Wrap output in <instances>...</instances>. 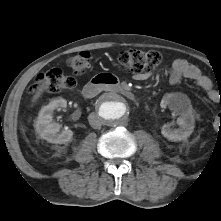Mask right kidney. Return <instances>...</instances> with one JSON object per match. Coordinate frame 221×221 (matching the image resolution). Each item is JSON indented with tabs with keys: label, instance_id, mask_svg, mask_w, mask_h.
Here are the masks:
<instances>
[{
	"label": "right kidney",
	"instance_id": "1",
	"mask_svg": "<svg viewBox=\"0 0 221 221\" xmlns=\"http://www.w3.org/2000/svg\"><path fill=\"white\" fill-rule=\"evenodd\" d=\"M66 106L67 101L65 99L56 98L41 108L34 127L42 139L54 144H64L72 139L73 132L71 130L65 129L61 133H58L60 131V125L52 122L54 110L65 108Z\"/></svg>",
	"mask_w": 221,
	"mask_h": 221
}]
</instances>
